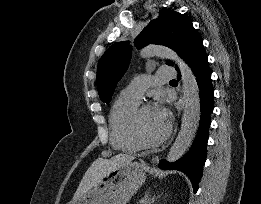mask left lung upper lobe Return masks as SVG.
<instances>
[{
  "label": "left lung upper lobe",
  "mask_w": 261,
  "mask_h": 204,
  "mask_svg": "<svg viewBox=\"0 0 261 204\" xmlns=\"http://www.w3.org/2000/svg\"><path fill=\"white\" fill-rule=\"evenodd\" d=\"M198 32L193 28L189 17L165 9L159 12L158 18L152 20L135 39L136 48L154 43L167 46L176 51L181 58ZM132 55L129 42L113 44L100 58L97 68V89L101 101L109 103L117 82L128 68ZM174 65L173 62H167ZM177 68V67H176Z\"/></svg>",
  "instance_id": "left-lung-upper-lobe-1"
}]
</instances>
